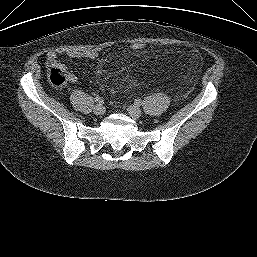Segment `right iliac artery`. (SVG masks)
Wrapping results in <instances>:
<instances>
[{"label": "right iliac artery", "instance_id": "obj_1", "mask_svg": "<svg viewBox=\"0 0 257 257\" xmlns=\"http://www.w3.org/2000/svg\"><path fill=\"white\" fill-rule=\"evenodd\" d=\"M94 100H95V102H97V103H103V99H102V97H100V96H96V97L94 98Z\"/></svg>", "mask_w": 257, "mask_h": 257}]
</instances>
